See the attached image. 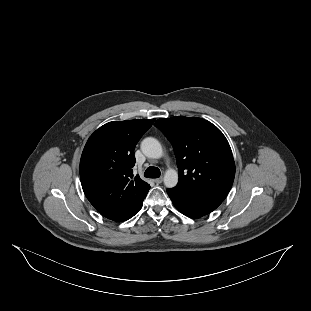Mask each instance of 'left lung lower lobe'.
I'll use <instances>...</instances> for the list:
<instances>
[{
  "instance_id": "obj_1",
  "label": "left lung lower lobe",
  "mask_w": 311,
  "mask_h": 311,
  "mask_svg": "<svg viewBox=\"0 0 311 311\" xmlns=\"http://www.w3.org/2000/svg\"><path fill=\"white\" fill-rule=\"evenodd\" d=\"M174 206L184 215L200 218L215 210L222 201L193 195L178 188L167 189Z\"/></svg>"
}]
</instances>
